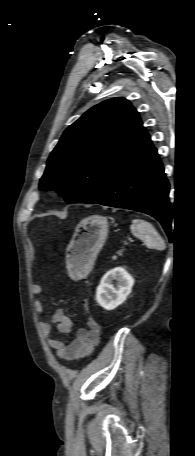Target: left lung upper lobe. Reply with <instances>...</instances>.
<instances>
[{
    "label": "left lung upper lobe",
    "mask_w": 195,
    "mask_h": 456,
    "mask_svg": "<svg viewBox=\"0 0 195 456\" xmlns=\"http://www.w3.org/2000/svg\"><path fill=\"white\" fill-rule=\"evenodd\" d=\"M142 122L124 98L106 100L69 126L50 154L40 190H57L67 203H83L103 185Z\"/></svg>",
    "instance_id": "left-lung-upper-lobe-1"
}]
</instances>
